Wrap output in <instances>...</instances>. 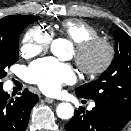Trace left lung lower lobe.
I'll list each match as a JSON object with an SVG mask.
<instances>
[{"instance_id": "obj_1", "label": "left lung lower lobe", "mask_w": 131, "mask_h": 131, "mask_svg": "<svg viewBox=\"0 0 131 131\" xmlns=\"http://www.w3.org/2000/svg\"><path fill=\"white\" fill-rule=\"evenodd\" d=\"M110 106L96 102L91 111L79 108L65 125L67 131H121L129 122Z\"/></svg>"}]
</instances>
